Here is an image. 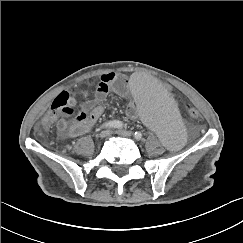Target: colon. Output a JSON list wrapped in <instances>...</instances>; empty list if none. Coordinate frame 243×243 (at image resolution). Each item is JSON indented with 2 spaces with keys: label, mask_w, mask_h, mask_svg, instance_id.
Here are the masks:
<instances>
[{
  "label": "colon",
  "mask_w": 243,
  "mask_h": 243,
  "mask_svg": "<svg viewBox=\"0 0 243 243\" xmlns=\"http://www.w3.org/2000/svg\"><path fill=\"white\" fill-rule=\"evenodd\" d=\"M75 99L73 93L61 92L52 101L50 109L46 113L42 121V128L49 129L59 115L70 114L73 112ZM182 112L186 113L195 123H200L203 120V114L189 102H184L181 105Z\"/></svg>",
  "instance_id": "1"
}]
</instances>
